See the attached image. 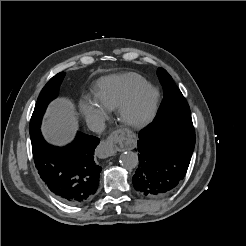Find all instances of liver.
Listing matches in <instances>:
<instances>
[{
    "instance_id": "6515ba94",
    "label": "liver",
    "mask_w": 246,
    "mask_h": 246,
    "mask_svg": "<svg viewBox=\"0 0 246 246\" xmlns=\"http://www.w3.org/2000/svg\"><path fill=\"white\" fill-rule=\"evenodd\" d=\"M77 126L73 104L65 98H58L47 109L42 132L49 142L64 145L73 139Z\"/></svg>"
}]
</instances>
